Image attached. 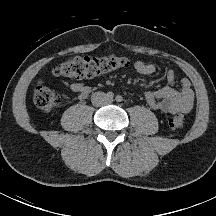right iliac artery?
I'll return each mask as SVG.
<instances>
[{
	"label": "right iliac artery",
	"mask_w": 216,
	"mask_h": 216,
	"mask_svg": "<svg viewBox=\"0 0 216 216\" xmlns=\"http://www.w3.org/2000/svg\"><path fill=\"white\" fill-rule=\"evenodd\" d=\"M107 98L108 99H113L114 98V93L113 92H108L107 93Z\"/></svg>",
	"instance_id": "right-iliac-artery-1"
}]
</instances>
